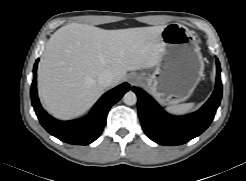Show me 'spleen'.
Instances as JSON below:
<instances>
[{"label":"spleen","mask_w":246,"mask_h":181,"mask_svg":"<svg viewBox=\"0 0 246 181\" xmlns=\"http://www.w3.org/2000/svg\"><path fill=\"white\" fill-rule=\"evenodd\" d=\"M194 103H183L179 105H172L167 107V111L169 113L175 114V115H183L188 112H190L194 108Z\"/></svg>","instance_id":"obj_1"}]
</instances>
